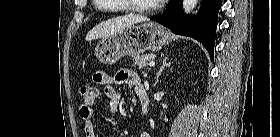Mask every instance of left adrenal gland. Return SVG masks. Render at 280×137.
<instances>
[{
	"label": "left adrenal gland",
	"instance_id": "1",
	"mask_svg": "<svg viewBox=\"0 0 280 137\" xmlns=\"http://www.w3.org/2000/svg\"><path fill=\"white\" fill-rule=\"evenodd\" d=\"M170 63H167V56H165L163 58V63H162V66L160 67L159 71L157 72V75H156V81L154 83V86H156V84L158 83L159 81V77L162 73V71L164 70L165 67L169 66Z\"/></svg>",
	"mask_w": 280,
	"mask_h": 137
}]
</instances>
